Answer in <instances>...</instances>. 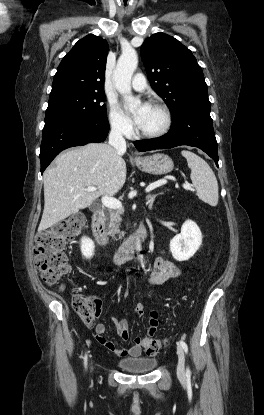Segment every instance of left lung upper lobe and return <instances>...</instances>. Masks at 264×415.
Returning a JSON list of instances; mask_svg holds the SVG:
<instances>
[{
    "label": "left lung upper lobe",
    "mask_w": 264,
    "mask_h": 415,
    "mask_svg": "<svg viewBox=\"0 0 264 415\" xmlns=\"http://www.w3.org/2000/svg\"><path fill=\"white\" fill-rule=\"evenodd\" d=\"M141 56L152 88L169 105L173 118L190 107L210 106L203 71L177 39L156 33L143 43Z\"/></svg>",
    "instance_id": "obj_1"
}]
</instances>
